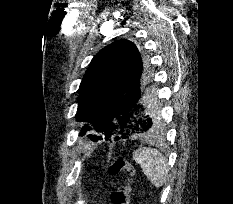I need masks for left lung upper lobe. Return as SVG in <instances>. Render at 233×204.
Masks as SVG:
<instances>
[{
  "label": "left lung upper lobe",
  "instance_id": "left-lung-upper-lobe-1",
  "mask_svg": "<svg viewBox=\"0 0 233 204\" xmlns=\"http://www.w3.org/2000/svg\"><path fill=\"white\" fill-rule=\"evenodd\" d=\"M149 68L134 43L118 40L100 50L92 59L79 88L80 100L76 113L78 121L84 125L80 132L96 142L105 137L120 135V104L130 86L142 77L149 75ZM158 126L161 120L158 108L155 111Z\"/></svg>",
  "mask_w": 233,
  "mask_h": 204
}]
</instances>
